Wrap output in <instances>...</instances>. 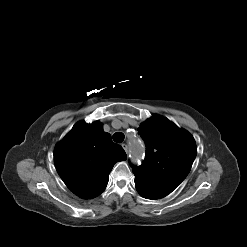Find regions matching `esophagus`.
Masks as SVG:
<instances>
[{"mask_svg":"<svg viewBox=\"0 0 247 247\" xmlns=\"http://www.w3.org/2000/svg\"><path fill=\"white\" fill-rule=\"evenodd\" d=\"M122 147H123L124 151L128 154V145L123 143Z\"/></svg>","mask_w":247,"mask_h":247,"instance_id":"1","label":"esophagus"}]
</instances>
